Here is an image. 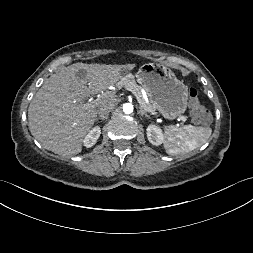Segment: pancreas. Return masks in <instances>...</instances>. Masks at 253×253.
Instances as JSON below:
<instances>
[{"mask_svg": "<svg viewBox=\"0 0 253 253\" xmlns=\"http://www.w3.org/2000/svg\"><path fill=\"white\" fill-rule=\"evenodd\" d=\"M126 86L132 87L135 90V92L137 93V95L143 100L141 87L137 84L136 80L134 79V77L132 75H128L126 77H123L117 83V87H119V88H122V87L125 88ZM143 102L145 103L144 100H143ZM145 105L150 107L152 110L156 109V107L151 103H148V104L145 103Z\"/></svg>", "mask_w": 253, "mask_h": 253, "instance_id": "obj_1", "label": "pancreas"}]
</instances>
